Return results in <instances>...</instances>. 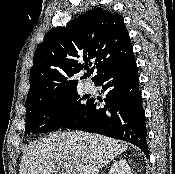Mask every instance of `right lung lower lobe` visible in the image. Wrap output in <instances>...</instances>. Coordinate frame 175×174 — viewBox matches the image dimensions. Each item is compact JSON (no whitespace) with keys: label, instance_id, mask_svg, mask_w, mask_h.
<instances>
[{"label":"right lung lower lobe","instance_id":"right-lung-lower-lobe-1","mask_svg":"<svg viewBox=\"0 0 175 174\" xmlns=\"http://www.w3.org/2000/svg\"><path fill=\"white\" fill-rule=\"evenodd\" d=\"M95 85L103 87L105 108L88 100L81 114L64 128L98 133L138 146L148 157L145 113L133 52L110 66Z\"/></svg>","mask_w":175,"mask_h":174}]
</instances>
